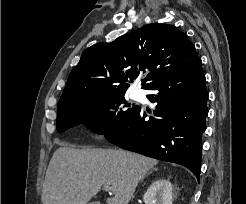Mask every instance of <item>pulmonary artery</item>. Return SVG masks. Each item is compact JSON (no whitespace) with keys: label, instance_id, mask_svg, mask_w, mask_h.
I'll return each mask as SVG.
<instances>
[{"label":"pulmonary artery","instance_id":"pulmonary-artery-1","mask_svg":"<svg viewBox=\"0 0 246 204\" xmlns=\"http://www.w3.org/2000/svg\"><path fill=\"white\" fill-rule=\"evenodd\" d=\"M142 97V94L139 91H134L132 94V98L134 100H139Z\"/></svg>","mask_w":246,"mask_h":204}]
</instances>
